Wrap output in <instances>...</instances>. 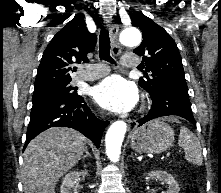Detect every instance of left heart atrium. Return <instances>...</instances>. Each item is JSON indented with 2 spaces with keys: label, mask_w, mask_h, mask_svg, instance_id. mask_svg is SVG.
Instances as JSON below:
<instances>
[{
  "label": "left heart atrium",
  "mask_w": 221,
  "mask_h": 193,
  "mask_svg": "<svg viewBox=\"0 0 221 193\" xmlns=\"http://www.w3.org/2000/svg\"><path fill=\"white\" fill-rule=\"evenodd\" d=\"M92 96L99 106L114 113L128 112L138 101L134 84L118 75L110 76L96 85Z\"/></svg>",
  "instance_id": "1"
}]
</instances>
